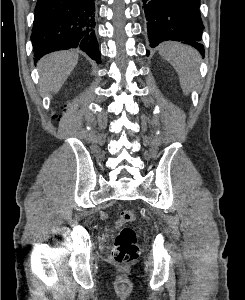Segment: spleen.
<instances>
[{"label":"spleen","instance_id":"1","mask_svg":"<svg viewBox=\"0 0 245 300\" xmlns=\"http://www.w3.org/2000/svg\"><path fill=\"white\" fill-rule=\"evenodd\" d=\"M159 53L175 68L181 88L185 94H188L198 79L197 51L180 43L167 42L160 46Z\"/></svg>","mask_w":245,"mask_h":300}]
</instances>
